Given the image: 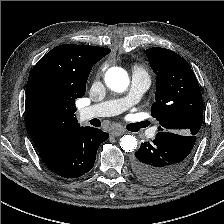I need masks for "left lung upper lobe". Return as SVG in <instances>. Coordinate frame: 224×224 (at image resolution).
Returning a JSON list of instances; mask_svg holds the SVG:
<instances>
[{
    "instance_id": "left-lung-upper-lobe-1",
    "label": "left lung upper lobe",
    "mask_w": 224,
    "mask_h": 224,
    "mask_svg": "<svg viewBox=\"0 0 224 224\" xmlns=\"http://www.w3.org/2000/svg\"><path fill=\"white\" fill-rule=\"evenodd\" d=\"M157 74L156 100L152 116L159 121L158 131L196 136L203 121L202 96L190 65L177 53L165 48L146 50Z\"/></svg>"
}]
</instances>
